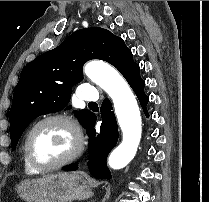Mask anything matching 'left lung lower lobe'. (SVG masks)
<instances>
[{
	"label": "left lung lower lobe",
	"mask_w": 209,
	"mask_h": 202,
	"mask_svg": "<svg viewBox=\"0 0 209 202\" xmlns=\"http://www.w3.org/2000/svg\"><path fill=\"white\" fill-rule=\"evenodd\" d=\"M139 66L135 65L125 75V79L134 90L138 100L148 117L146 105L149 98L144 93L145 82L139 74ZM101 110L103 122L100 127V134L96 135L94 129L96 116L92 118L87 126V134L89 136V172L98 179H111L110 170L107 167L106 159L109 152L114 148L118 141V127L115 114L112 111V105L108 98L104 99ZM78 169V165H72L64 168V171H74Z\"/></svg>",
	"instance_id": "1"
}]
</instances>
